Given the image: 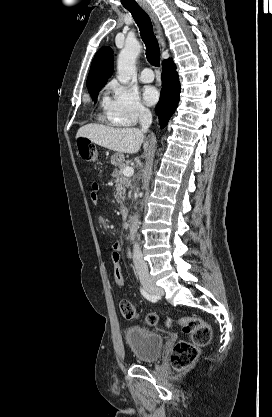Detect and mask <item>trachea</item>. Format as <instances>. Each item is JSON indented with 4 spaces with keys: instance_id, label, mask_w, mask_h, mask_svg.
Instances as JSON below:
<instances>
[{
    "instance_id": "trachea-1",
    "label": "trachea",
    "mask_w": 272,
    "mask_h": 417,
    "mask_svg": "<svg viewBox=\"0 0 272 417\" xmlns=\"http://www.w3.org/2000/svg\"><path fill=\"white\" fill-rule=\"evenodd\" d=\"M137 23L140 35L146 46V57L153 66L160 65V48L153 32L149 15L139 6L126 7Z\"/></svg>"
}]
</instances>
